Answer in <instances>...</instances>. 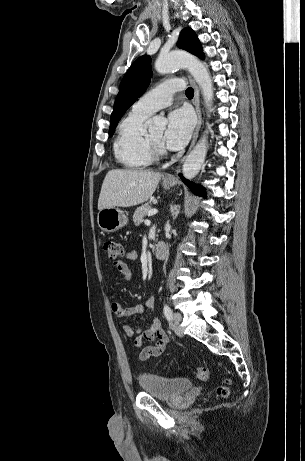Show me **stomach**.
<instances>
[{
    "label": "stomach",
    "mask_w": 305,
    "mask_h": 461,
    "mask_svg": "<svg viewBox=\"0 0 305 461\" xmlns=\"http://www.w3.org/2000/svg\"><path fill=\"white\" fill-rule=\"evenodd\" d=\"M174 186V182H163L165 189H170ZM99 227L105 232H115L124 227L128 218L125 213L117 207L104 208L99 211L97 216Z\"/></svg>",
    "instance_id": "1"
}]
</instances>
